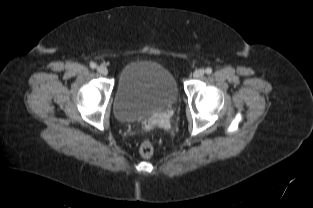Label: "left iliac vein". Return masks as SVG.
Wrapping results in <instances>:
<instances>
[{
  "instance_id": "1",
  "label": "left iliac vein",
  "mask_w": 313,
  "mask_h": 208,
  "mask_svg": "<svg viewBox=\"0 0 313 208\" xmlns=\"http://www.w3.org/2000/svg\"><path fill=\"white\" fill-rule=\"evenodd\" d=\"M205 74L204 69H197L194 71L193 76L195 78H201Z\"/></svg>"
}]
</instances>
